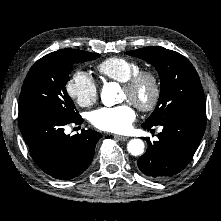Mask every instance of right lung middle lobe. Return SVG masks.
Masks as SVG:
<instances>
[{
    "label": "right lung middle lobe",
    "instance_id": "1",
    "mask_svg": "<svg viewBox=\"0 0 221 221\" xmlns=\"http://www.w3.org/2000/svg\"><path fill=\"white\" fill-rule=\"evenodd\" d=\"M99 56L82 50L62 49L39 59L24 80L19 111L40 108L66 119L80 118L65 88L68 75L75 62L90 61Z\"/></svg>",
    "mask_w": 221,
    "mask_h": 221
}]
</instances>
